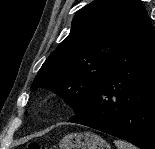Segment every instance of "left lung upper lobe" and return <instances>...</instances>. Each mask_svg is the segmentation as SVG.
<instances>
[{"instance_id":"5c2ea615","label":"left lung upper lobe","mask_w":155,"mask_h":149,"mask_svg":"<svg viewBox=\"0 0 155 149\" xmlns=\"http://www.w3.org/2000/svg\"><path fill=\"white\" fill-rule=\"evenodd\" d=\"M147 14L139 0H95L73 18L70 34L43 63L31 90L54 91L77 114Z\"/></svg>"}]
</instances>
